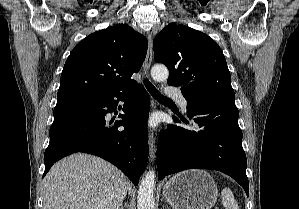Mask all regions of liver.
Masks as SVG:
<instances>
[{"mask_svg": "<svg viewBox=\"0 0 299 209\" xmlns=\"http://www.w3.org/2000/svg\"><path fill=\"white\" fill-rule=\"evenodd\" d=\"M132 185L107 161L84 153L57 162L43 183L44 209H120Z\"/></svg>", "mask_w": 299, "mask_h": 209, "instance_id": "6515ba94", "label": "liver"}]
</instances>
